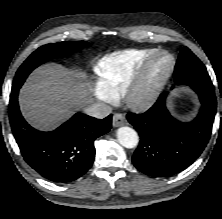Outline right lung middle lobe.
I'll use <instances>...</instances> for the list:
<instances>
[{
	"mask_svg": "<svg viewBox=\"0 0 222 219\" xmlns=\"http://www.w3.org/2000/svg\"><path fill=\"white\" fill-rule=\"evenodd\" d=\"M86 45L85 41L47 44L33 52L20 66L13 81L12 90H19L30 72L44 62L76 51Z\"/></svg>",
	"mask_w": 222,
	"mask_h": 219,
	"instance_id": "right-lung-middle-lobe-1",
	"label": "right lung middle lobe"
}]
</instances>
